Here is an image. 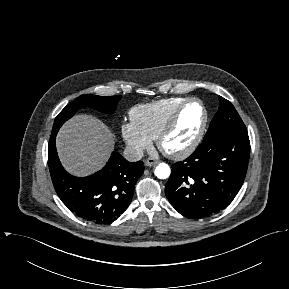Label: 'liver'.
Wrapping results in <instances>:
<instances>
[{
	"instance_id": "obj_1",
	"label": "liver",
	"mask_w": 289,
	"mask_h": 289,
	"mask_svg": "<svg viewBox=\"0 0 289 289\" xmlns=\"http://www.w3.org/2000/svg\"><path fill=\"white\" fill-rule=\"evenodd\" d=\"M114 135L99 119L76 115L60 129L56 146L59 158L71 174L86 176L101 169L113 149Z\"/></svg>"
}]
</instances>
